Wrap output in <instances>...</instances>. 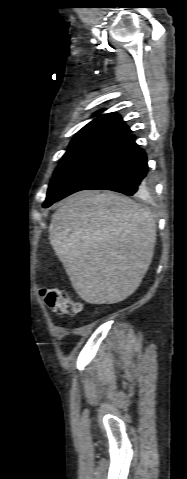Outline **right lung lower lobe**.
Segmentation results:
<instances>
[{
	"mask_svg": "<svg viewBox=\"0 0 187 479\" xmlns=\"http://www.w3.org/2000/svg\"><path fill=\"white\" fill-rule=\"evenodd\" d=\"M86 189L112 190L141 199L151 196L154 186L148 173L146 153L135 143L133 134H128L80 173L54 202Z\"/></svg>",
	"mask_w": 187,
	"mask_h": 479,
	"instance_id": "obj_1",
	"label": "right lung lower lobe"
}]
</instances>
